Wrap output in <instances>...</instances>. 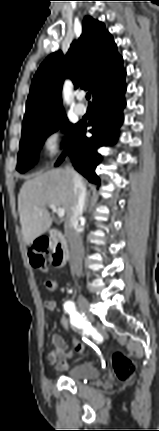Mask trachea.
I'll list each match as a JSON object with an SVG mask.
<instances>
[{
  "instance_id": "3493384b",
  "label": "trachea",
  "mask_w": 159,
  "mask_h": 431,
  "mask_svg": "<svg viewBox=\"0 0 159 431\" xmlns=\"http://www.w3.org/2000/svg\"><path fill=\"white\" fill-rule=\"evenodd\" d=\"M91 98V93L90 92H88L87 94H86V99L87 100H89ZM89 104H90V102H89Z\"/></svg>"
}]
</instances>
